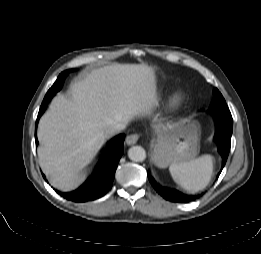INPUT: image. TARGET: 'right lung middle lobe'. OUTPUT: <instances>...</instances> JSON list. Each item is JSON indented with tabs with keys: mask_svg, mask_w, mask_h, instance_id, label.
Returning <instances> with one entry per match:
<instances>
[{
	"mask_svg": "<svg viewBox=\"0 0 261 254\" xmlns=\"http://www.w3.org/2000/svg\"><path fill=\"white\" fill-rule=\"evenodd\" d=\"M49 91H57V90H56V85L53 84V86L49 89Z\"/></svg>",
	"mask_w": 261,
	"mask_h": 254,
	"instance_id": "dd1d6c3e",
	"label": "right lung middle lobe"
}]
</instances>
